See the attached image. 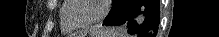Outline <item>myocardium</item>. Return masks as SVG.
<instances>
[{"mask_svg":"<svg viewBox=\"0 0 219 37\" xmlns=\"http://www.w3.org/2000/svg\"><path fill=\"white\" fill-rule=\"evenodd\" d=\"M66 2L68 3V8L64 11L63 17H64L65 21H66L71 27H73V28H79V29L91 27V26H93V25L99 23L101 20H103V18L105 17V15H106V13H107V11H108V4H109V1H108V0H101V1H100V6H101L100 12H99V14H98L95 18H93V19H91V20H89V21L83 22V23H76V22H74V21H71V20L69 19V17H68V14H69L70 10H71V9L74 7V5H75V0H67Z\"/></svg>","mask_w":219,"mask_h":37,"instance_id":"myocardium-1","label":"myocardium"}]
</instances>
